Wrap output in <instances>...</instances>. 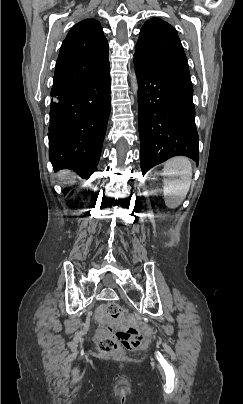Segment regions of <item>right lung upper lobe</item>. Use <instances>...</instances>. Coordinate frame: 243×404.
<instances>
[{"instance_id":"cb5924a9","label":"right lung upper lobe","mask_w":243,"mask_h":404,"mask_svg":"<svg viewBox=\"0 0 243 404\" xmlns=\"http://www.w3.org/2000/svg\"><path fill=\"white\" fill-rule=\"evenodd\" d=\"M108 48L103 29L95 19H85L73 26L60 48L51 94L108 70Z\"/></svg>"}]
</instances>
